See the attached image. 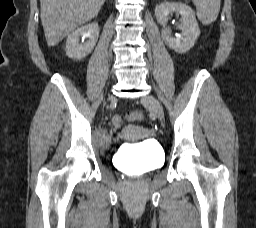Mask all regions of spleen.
<instances>
[{
  "label": "spleen",
  "mask_w": 256,
  "mask_h": 228,
  "mask_svg": "<svg viewBox=\"0 0 256 228\" xmlns=\"http://www.w3.org/2000/svg\"><path fill=\"white\" fill-rule=\"evenodd\" d=\"M197 17L203 25L212 24L218 17L221 0H192Z\"/></svg>",
  "instance_id": "obj_1"
}]
</instances>
